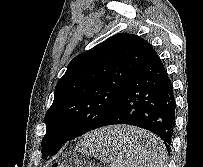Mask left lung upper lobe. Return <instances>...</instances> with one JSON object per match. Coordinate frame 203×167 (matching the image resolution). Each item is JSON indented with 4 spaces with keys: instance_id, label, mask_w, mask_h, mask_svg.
<instances>
[{
    "instance_id": "obj_1",
    "label": "left lung upper lobe",
    "mask_w": 203,
    "mask_h": 167,
    "mask_svg": "<svg viewBox=\"0 0 203 167\" xmlns=\"http://www.w3.org/2000/svg\"><path fill=\"white\" fill-rule=\"evenodd\" d=\"M154 52L140 36L118 33L72 59L44 122L42 158L52 145L99 128L115 111L137 70Z\"/></svg>"
}]
</instances>
